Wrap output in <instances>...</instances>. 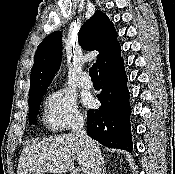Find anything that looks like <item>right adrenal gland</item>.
Wrapping results in <instances>:
<instances>
[{"label": "right adrenal gland", "instance_id": "right-adrenal-gland-1", "mask_svg": "<svg viewBox=\"0 0 175 174\" xmlns=\"http://www.w3.org/2000/svg\"><path fill=\"white\" fill-rule=\"evenodd\" d=\"M101 174H106V167H105V163L103 159H102V173Z\"/></svg>", "mask_w": 175, "mask_h": 174}]
</instances>
